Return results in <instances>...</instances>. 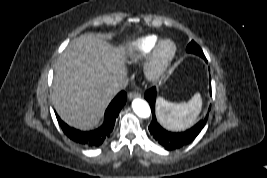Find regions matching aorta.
Segmentation results:
<instances>
[{"label": "aorta", "instance_id": "obj_1", "mask_svg": "<svg viewBox=\"0 0 267 178\" xmlns=\"http://www.w3.org/2000/svg\"><path fill=\"white\" fill-rule=\"evenodd\" d=\"M132 108L133 111L136 113L137 116L141 118H148L151 115V109L149 104L140 98H136L132 101Z\"/></svg>", "mask_w": 267, "mask_h": 178}]
</instances>
